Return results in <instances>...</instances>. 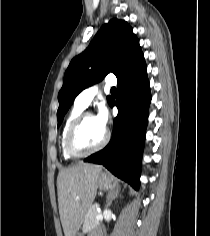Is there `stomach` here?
Returning <instances> with one entry per match:
<instances>
[{
	"label": "stomach",
	"instance_id": "stomach-1",
	"mask_svg": "<svg viewBox=\"0 0 210 236\" xmlns=\"http://www.w3.org/2000/svg\"><path fill=\"white\" fill-rule=\"evenodd\" d=\"M98 185L103 190H110L117 186V182L111 175L107 173H101L98 177Z\"/></svg>",
	"mask_w": 210,
	"mask_h": 236
}]
</instances>
